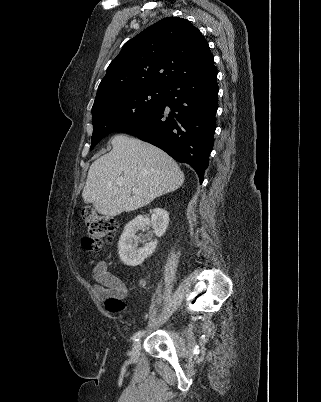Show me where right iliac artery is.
<instances>
[{
    "label": "right iliac artery",
    "mask_w": 321,
    "mask_h": 402,
    "mask_svg": "<svg viewBox=\"0 0 321 402\" xmlns=\"http://www.w3.org/2000/svg\"><path fill=\"white\" fill-rule=\"evenodd\" d=\"M143 334H144V331H138V332H136V333L133 335L132 339H133L134 341H137V340H139V338H140Z\"/></svg>",
    "instance_id": "right-iliac-artery-1"
}]
</instances>
